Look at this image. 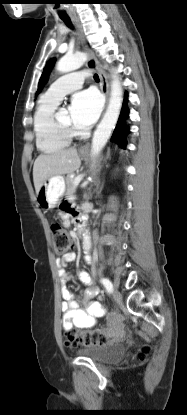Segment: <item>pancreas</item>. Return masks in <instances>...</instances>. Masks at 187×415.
<instances>
[{
	"mask_svg": "<svg viewBox=\"0 0 187 415\" xmlns=\"http://www.w3.org/2000/svg\"><path fill=\"white\" fill-rule=\"evenodd\" d=\"M74 177H71V175H68L66 177V197H71L73 196V194L76 192V187L74 186Z\"/></svg>",
	"mask_w": 187,
	"mask_h": 415,
	"instance_id": "obj_1",
	"label": "pancreas"
}]
</instances>
